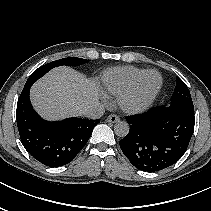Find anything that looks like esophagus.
<instances>
[{
	"label": "esophagus",
	"mask_w": 211,
	"mask_h": 211,
	"mask_svg": "<svg viewBox=\"0 0 211 211\" xmlns=\"http://www.w3.org/2000/svg\"><path fill=\"white\" fill-rule=\"evenodd\" d=\"M119 121H120L119 116H117L115 114L109 115L107 117V122H109V123H116V122H119Z\"/></svg>",
	"instance_id": "1"
}]
</instances>
